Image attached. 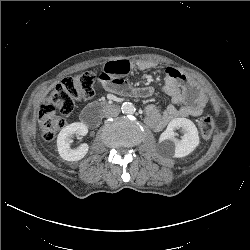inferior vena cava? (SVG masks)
I'll list each match as a JSON object with an SVG mask.
<instances>
[{"label":"inferior vena cava","mask_w":250,"mask_h":250,"mask_svg":"<svg viewBox=\"0 0 250 250\" xmlns=\"http://www.w3.org/2000/svg\"><path fill=\"white\" fill-rule=\"evenodd\" d=\"M120 109L118 107H109L105 110L104 116L107 118L116 117L119 115Z\"/></svg>","instance_id":"1"}]
</instances>
